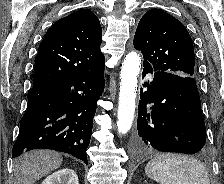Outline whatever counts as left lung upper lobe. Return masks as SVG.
I'll return each mask as SVG.
<instances>
[{"instance_id":"left-lung-upper-lobe-1","label":"left lung upper lobe","mask_w":224,"mask_h":184,"mask_svg":"<svg viewBox=\"0 0 224 184\" xmlns=\"http://www.w3.org/2000/svg\"><path fill=\"white\" fill-rule=\"evenodd\" d=\"M134 47L143 54V66L184 77L195 76L192 39L185 26L168 13L151 9L141 18Z\"/></svg>"}]
</instances>
